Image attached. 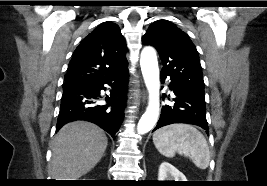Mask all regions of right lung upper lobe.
Returning <instances> with one entry per match:
<instances>
[{
  "mask_svg": "<svg viewBox=\"0 0 267 186\" xmlns=\"http://www.w3.org/2000/svg\"><path fill=\"white\" fill-rule=\"evenodd\" d=\"M127 51L118 25L100 24L75 49L64 84L102 77L125 67Z\"/></svg>",
  "mask_w": 267,
  "mask_h": 186,
  "instance_id": "right-lung-upper-lobe-1",
  "label": "right lung upper lobe"
}]
</instances>
